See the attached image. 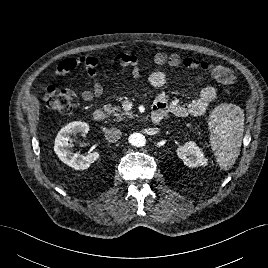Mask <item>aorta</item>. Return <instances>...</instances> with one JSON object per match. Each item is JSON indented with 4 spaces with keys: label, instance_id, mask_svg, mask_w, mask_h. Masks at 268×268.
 Masks as SVG:
<instances>
[{
    "label": "aorta",
    "instance_id": "762f6f07",
    "mask_svg": "<svg viewBox=\"0 0 268 268\" xmlns=\"http://www.w3.org/2000/svg\"><path fill=\"white\" fill-rule=\"evenodd\" d=\"M129 143L135 147H142L146 143L145 136L141 133H133L128 138Z\"/></svg>",
    "mask_w": 268,
    "mask_h": 268
}]
</instances>
